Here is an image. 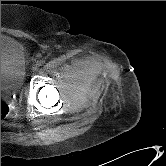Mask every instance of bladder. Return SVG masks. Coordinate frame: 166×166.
Listing matches in <instances>:
<instances>
[{"mask_svg": "<svg viewBox=\"0 0 166 166\" xmlns=\"http://www.w3.org/2000/svg\"><path fill=\"white\" fill-rule=\"evenodd\" d=\"M25 79V59L21 45L1 35V91L19 89Z\"/></svg>", "mask_w": 166, "mask_h": 166, "instance_id": "1", "label": "bladder"}]
</instances>
